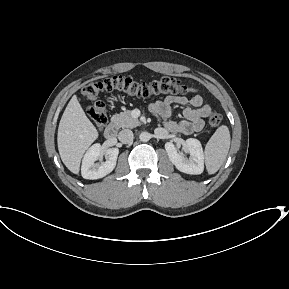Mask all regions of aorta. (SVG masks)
<instances>
[{
	"label": "aorta",
	"mask_w": 289,
	"mask_h": 289,
	"mask_svg": "<svg viewBox=\"0 0 289 289\" xmlns=\"http://www.w3.org/2000/svg\"><path fill=\"white\" fill-rule=\"evenodd\" d=\"M139 138H140V140H141L142 142H147V141L150 140L151 135H150V133H148V132H142V133L140 134Z\"/></svg>",
	"instance_id": "762f6f07"
}]
</instances>
